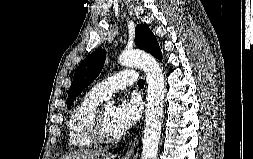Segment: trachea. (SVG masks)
<instances>
[{
	"label": "trachea",
	"instance_id": "3493384b",
	"mask_svg": "<svg viewBox=\"0 0 253 159\" xmlns=\"http://www.w3.org/2000/svg\"><path fill=\"white\" fill-rule=\"evenodd\" d=\"M137 84H138L139 87H144V80L139 79Z\"/></svg>",
	"mask_w": 253,
	"mask_h": 159
}]
</instances>
